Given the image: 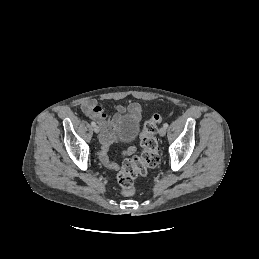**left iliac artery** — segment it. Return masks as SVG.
Wrapping results in <instances>:
<instances>
[{"label":"left iliac artery","instance_id":"left-iliac-artery-1","mask_svg":"<svg viewBox=\"0 0 259 259\" xmlns=\"http://www.w3.org/2000/svg\"><path fill=\"white\" fill-rule=\"evenodd\" d=\"M163 127H164V128H168V123H165V124L163 125Z\"/></svg>","mask_w":259,"mask_h":259}]
</instances>
